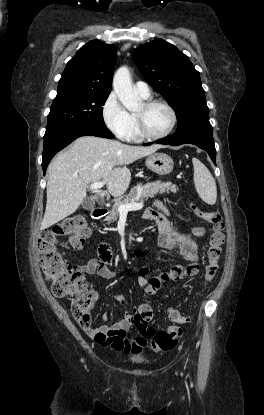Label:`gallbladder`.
Returning a JSON list of instances; mask_svg holds the SVG:
<instances>
[{"mask_svg": "<svg viewBox=\"0 0 264 415\" xmlns=\"http://www.w3.org/2000/svg\"><path fill=\"white\" fill-rule=\"evenodd\" d=\"M94 206H95V202H94V200H93L92 198H90V197H86V198L83 200V202H82V207H83L84 209H88V210H90V209H93V208H94Z\"/></svg>", "mask_w": 264, "mask_h": 415, "instance_id": "1", "label": "gallbladder"}]
</instances>
